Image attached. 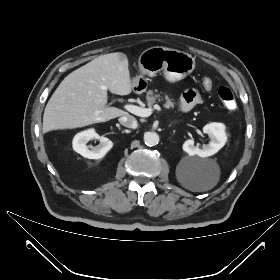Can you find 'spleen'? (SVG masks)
Here are the masks:
<instances>
[{
	"mask_svg": "<svg viewBox=\"0 0 280 280\" xmlns=\"http://www.w3.org/2000/svg\"><path fill=\"white\" fill-rule=\"evenodd\" d=\"M214 185H216V182L210 184L209 186L205 187V190L211 189L212 187H214Z\"/></svg>",
	"mask_w": 280,
	"mask_h": 280,
	"instance_id": "spleen-1",
	"label": "spleen"
}]
</instances>
